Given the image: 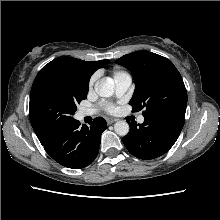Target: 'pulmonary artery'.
Wrapping results in <instances>:
<instances>
[{
    "label": "pulmonary artery",
    "mask_w": 220,
    "mask_h": 220,
    "mask_svg": "<svg viewBox=\"0 0 220 220\" xmlns=\"http://www.w3.org/2000/svg\"><path fill=\"white\" fill-rule=\"evenodd\" d=\"M132 82L131 76L125 72L119 73L114 76L115 94L117 97L123 96ZM96 113L95 109H82L79 111L78 116L80 118L91 116ZM138 123L144 122V116L140 115L137 119Z\"/></svg>",
    "instance_id": "pulmonary-artery-1"
}]
</instances>
